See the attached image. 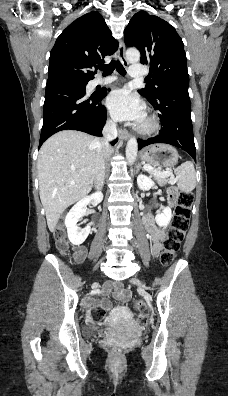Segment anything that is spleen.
<instances>
[{
  "instance_id": "obj_1",
  "label": "spleen",
  "mask_w": 228,
  "mask_h": 396,
  "mask_svg": "<svg viewBox=\"0 0 228 396\" xmlns=\"http://www.w3.org/2000/svg\"><path fill=\"white\" fill-rule=\"evenodd\" d=\"M178 188L184 193H190L196 186V173L194 165L186 161L175 169Z\"/></svg>"
}]
</instances>
